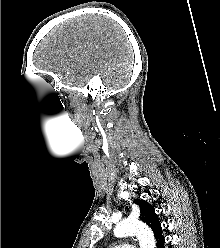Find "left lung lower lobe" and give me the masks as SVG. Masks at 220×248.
Instances as JSON below:
<instances>
[{"instance_id":"obj_1","label":"left lung lower lobe","mask_w":220,"mask_h":248,"mask_svg":"<svg viewBox=\"0 0 220 248\" xmlns=\"http://www.w3.org/2000/svg\"><path fill=\"white\" fill-rule=\"evenodd\" d=\"M156 246L157 248H163L164 246V237L162 235V229L159 230V232L156 234Z\"/></svg>"}]
</instances>
